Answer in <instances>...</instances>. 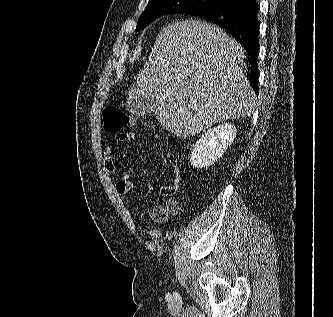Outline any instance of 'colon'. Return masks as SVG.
Segmentation results:
<instances>
[{
  "instance_id": "colon-1",
  "label": "colon",
  "mask_w": 333,
  "mask_h": 317,
  "mask_svg": "<svg viewBox=\"0 0 333 317\" xmlns=\"http://www.w3.org/2000/svg\"><path fill=\"white\" fill-rule=\"evenodd\" d=\"M102 115L104 129L109 134H120L136 122L134 117L117 106L106 107Z\"/></svg>"
}]
</instances>
